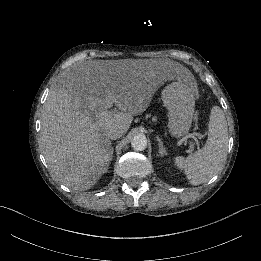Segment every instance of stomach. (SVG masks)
Returning a JSON list of instances; mask_svg holds the SVG:
<instances>
[{"instance_id":"obj_1","label":"stomach","mask_w":261,"mask_h":261,"mask_svg":"<svg viewBox=\"0 0 261 261\" xmlns=\"http://www.w3.org/2000/svg\"><path fill=\"white\" fill-rule=\"evenodd\" d=\"M162 97L168 109L167 133L175 139L185 137L194 122L196 91L188 84L175 82L166 87Z\"/></svg>"}]
</instances>
